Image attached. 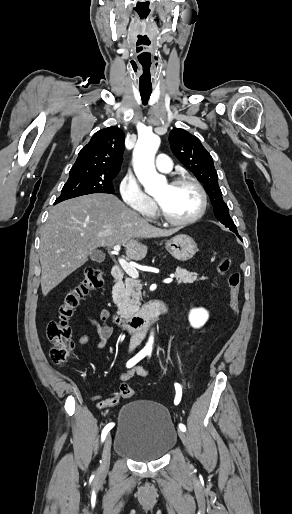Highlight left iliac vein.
<instances>
[{"instance_id":"left-iliac-vein-1","label":"left iliac vein","mask_w":292,"mask_h":514,"mask_svg":"<svg viewBox=\"0 0 292 514\" xmlns=\"http://www.w3.org/2000/svg\"><path fill=\"white\" fill-rule=\"evenodd\" d=\"M178 436L181 439V441L183 442V444L186 446L187 445V435L185 434V432L179 430Z\"/></svg>"}]
</instances>
